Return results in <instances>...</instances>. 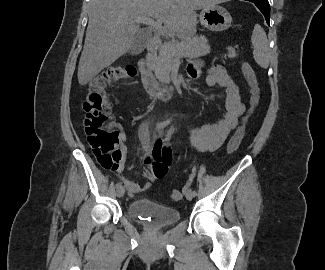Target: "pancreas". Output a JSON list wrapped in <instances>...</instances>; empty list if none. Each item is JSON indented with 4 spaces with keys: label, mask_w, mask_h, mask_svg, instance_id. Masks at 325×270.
I'll list each match as a JSON object with an SVG mask.
<instances>
[{
    "label": "pancreas",
    "mask_w": 325,
    "mask_h": 270,
    "mask_svg": "<svg viewBox=\"0 0 325 270\" xmlns=\"http://www.w3.org/2000/svg\"><path fill=\"white\" fill-rule=\"evenodd\" d=\"M228 54L224 57H236V51L232 47H228ZM210 53V46L204 36H195L188 38L182 42L169 41L164 43L160 50L153 70L156 78L162 84L170 83V73L173 66L183 57L198 58Z\"/></svg>",
    "instance_id": "1"
}]
</instances>
